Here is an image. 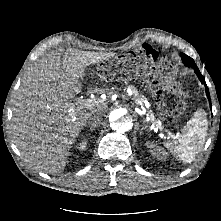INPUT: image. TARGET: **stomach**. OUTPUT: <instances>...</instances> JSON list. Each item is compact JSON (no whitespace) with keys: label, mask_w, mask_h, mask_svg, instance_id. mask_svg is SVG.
Masks as SVG:
<instances>
[{"label":"stomach","mask_w":221,"mask_h":221,"mask_svg":"<svg viewBox=\"0 0 221 221\" xmlns=\"http://www.w3.org/2000/svg\"><path fill=\"white\" fill-rule=\"evenodd\" d=\"M144 86L153 96L162 95L165 91V77L159 71H150L144 77ZM162 106L163 104L158 103V109H162Z\"/></svg>","instance_id":"stomach-1"}]
</instances>
